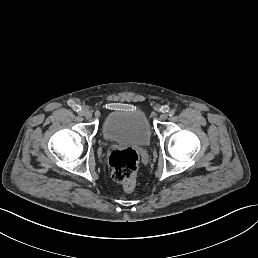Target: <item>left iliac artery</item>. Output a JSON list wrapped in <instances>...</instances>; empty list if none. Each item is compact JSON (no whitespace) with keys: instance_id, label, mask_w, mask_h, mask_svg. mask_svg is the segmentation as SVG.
Instances as JSON below:
<instances>
[{"instance_id":"left-iliac-artery-1","label":"left iliac artery","mask_w":258,"mask_h":258,"mask_svg":"<svg viewBox=\"0 0 258 258\" xmlns=\"http://www.w3.org/2000/svg\"><path fill=\"white\" fill-rule=\"evenodd\" d=\"M174 114H175V111H174V110H171V111H169V113H168V115H169L170 117L174 116Z\"/></svg>"}]
</instances>
